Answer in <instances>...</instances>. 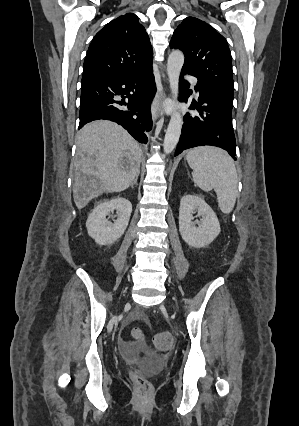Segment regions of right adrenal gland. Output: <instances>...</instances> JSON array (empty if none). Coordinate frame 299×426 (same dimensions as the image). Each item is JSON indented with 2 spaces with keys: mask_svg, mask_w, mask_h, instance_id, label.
<instances>
[{
  "mask_svg": "<svg viewBox=\"0 0 299 426\" xmlns=\"http://www.w3.org/2000/svg\"><path fill=\"white\" fill-rule=\"evenodd\" d=\"M137 180H138V177H136L135 179H134V181H133V183H132V187H133V185H137Z\"/></svg>",
  "mask_w": 299,
  "mask_h": 426,
  "instance_id": "2a0ac1e0",
  "label": "right adrenal gland"
}]
</instances>
